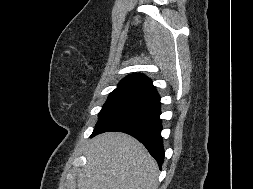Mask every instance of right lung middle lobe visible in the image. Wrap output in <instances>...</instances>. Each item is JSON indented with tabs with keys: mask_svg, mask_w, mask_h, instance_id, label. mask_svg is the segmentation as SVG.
Listing matches in <instances>:
<instances>
[{
	"mask_svg": "<svg viewBox=\"0 0 253 189\" xmlns=\"http://www.w3.org/2000/svg\"><path fill=\"white\" fill-rule=\"evenodd\" d=\"M146 95V92L139 90L115 89L110 93L102 110L99 112V120L97 124L117 110L144 98Z\"/></svg>",
	"mask_w": 253,
	"mask_h": 189,
	"instance_id": "right-lung-middle-lobe-1",
	"label": "right lung middle lobe"
}]
</instances>
